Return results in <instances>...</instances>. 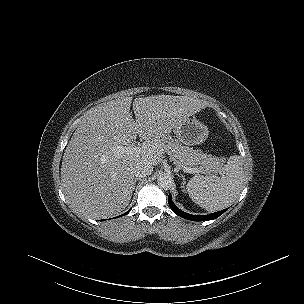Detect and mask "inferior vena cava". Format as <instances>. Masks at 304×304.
Returning a JSON list of instances; mask_svg holds the SVG:
<instances>
[{
  "label": "inferior vena cava",
  "mask_w": 304,
  "mask_h": 304,
  "mask_svg": "<svg viewBox=\"0 0 304 304\" xmlns=\"http://www.w3.org/2000/svg\"><path fill=\"white\" fill-rule=\"evenodd\" d=\"M152 172L153 165L149 162H140L134 167V175L136 178H144L151 175Z\"/></svg>",
  "instance_id": "1"
}]
</instances>
